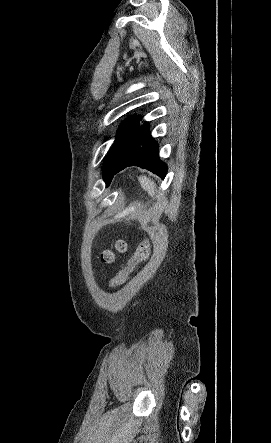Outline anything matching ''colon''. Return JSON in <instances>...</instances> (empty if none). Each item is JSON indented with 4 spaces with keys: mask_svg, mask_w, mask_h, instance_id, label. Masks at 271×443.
I'll return each mask as SVG.
<instances>
[{
    "mask_svg": "<svg viewBox=\"0 0 271 443\" xmlns=\"http://www.w3.org/2000/svg\"><path fill=\"white\" fill-rule=\"evenodd\" d=\"M114 248L117 252H124L126 250V242L124 240H118ZM151 243L149 239L143 240L136 248L135 253L127 261L126 266L122 269L115 278H113L109 284L112 289L118 288L123 285L129 275L133 272L136 266L144 261H146L150 256ZM115 253L111 249H107L102 253V259L106 263H111L114 261Z\"/></svg>",
    "mask_w": 271,
    "mask_h": 443,
    "instance_id": "obj_1",
    "label": "colon"
}]
</instances>
